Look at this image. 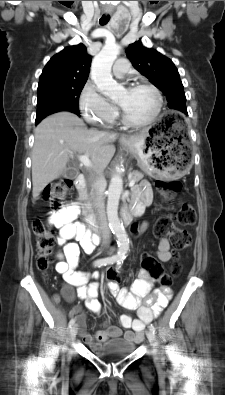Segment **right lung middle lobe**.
I'll use <instances>...</instances> for the list:
<instances>
[{"label":"right lung middle lobe","instance_id":"right-lung-middle-lobe-1","mask_svg":"<svg viewBox=\"0 0 225 395\" xmlns=\"http://www.w3.org/2000/svg\"><path fill=\"white\" fill-rule=\"evenodd\" d=\"M85 83L86 81H75L38 85L36 119L65 108L78 109L79 96Z\"/></svg>","mask_w":225,"mask_h":395}]
</instances>
